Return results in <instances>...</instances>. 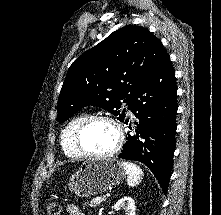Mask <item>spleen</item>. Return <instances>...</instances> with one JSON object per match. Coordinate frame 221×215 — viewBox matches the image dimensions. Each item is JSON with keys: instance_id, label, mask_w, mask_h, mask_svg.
I'll return each mask as SVG.
<instances>
[{"instance_id": "1", "label": "spleen", "mask_w": 221, "mask_h": 215, "mask_svg": "<svg viewBox=\"0 0 221 215\" xmlns=\"http://www.w3.org/2000/svg\"><path fill=\"white\" fill-rule=\"evenodd\" d=\"M122 166L128 175L127 178L128 186L134 187L138 185L143 177V171L141 170V168L136 164L128 161H123Z\"/></svg>"}]
</instances>
